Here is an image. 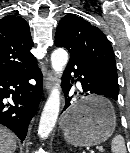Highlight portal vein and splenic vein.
Instances as JSON below:
<instances>
[{
	"instance_id": "18ae733b",
	"label": "portal vein and splenic vein",
	"mask_w": 130,
	"mask_h": 153,
	"mask_svg": "<svg viewBox=\"0 0 130 153\" xmlns=\"http://www.w3.org/2000/svg\"><path fill=\"white\" fill-rule=\"evenodd\" d=\"M99 150L102 152V151H103V148H102V147H100V148H99Z\"/></svg>"
}]
</instances>
